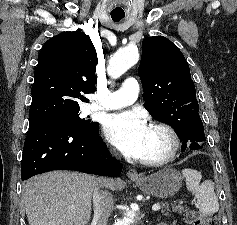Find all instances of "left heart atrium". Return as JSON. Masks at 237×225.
Listing matches in <instances>:
<instances>
[{
    "label": "left heart atrium",
    "instance_id": "left-heart-atrium-1",
    "mask_svg": "<svg viewBox=\"0 0 237 225\" xmlns=\"http://www.w3.org/2000/svg\"><path fill=\"white\" fill-rule=\"evenodd\" d=\"M148 128L140 114L121 112L108 117L104 130L123 154L138 159L144 153Z\"/></svg>",
    "mask_w": 237,
    "mask_h": 225
}]
</instances>
